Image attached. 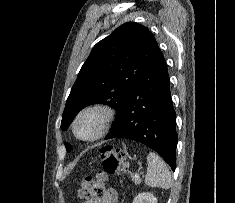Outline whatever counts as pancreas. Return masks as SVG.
<instances>
[{
    "mask_svg": "<svg viewBox=\"0 0 235 203\" xmlns=\"http://www.w3.org/2000/svg\"><path fill=\"white\" fill-rule=\"evenodd\" d=\"M131 179L135 184H140L141 182V179L138 176L133 175V174H131Z\"/></svg>",
    "mask_w": 235,
    "mask_h": 203,
    "instance_id": "1",
    "label": "pancreas"
}]
</instances>
